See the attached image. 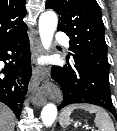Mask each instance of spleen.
Wrapping results in <instances>:
<instances>
[{"label": "spleen", "mask_w": 117, "mask_h": 131, "mask_svg": "<svg viewBox=\"0 0 117 131\" xmlns=\"http://www.w3.org/2000/svg\"><path fill=\"white\" fill-rule=\"evenodd\" d=\"M75 109H83L89 113H95L94 122L100 131H115L113 121L109 114L104 109L91 104H75L65 108L59 118L61 126L65 127L70 124V115Z\"/></svg>", "instance_id": "1"}]
</instances>
